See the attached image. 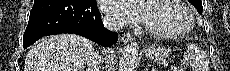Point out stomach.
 <instances>
[{"label":"stomach","mask_w":230,"mask_h":71,"mask_svg":"<svg viewBox=\"0 0 230 71\" xmlns=\"http://www.w3.org/2000/svg\"><path fill=\"white\" fill-rule=\"evenodd\" d=\"M146 57L155 62H162L169 56V50L163 46L153 44L146 49Z\"/></svg>","instance_id":"0dacf381"}]
</instances>
